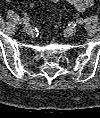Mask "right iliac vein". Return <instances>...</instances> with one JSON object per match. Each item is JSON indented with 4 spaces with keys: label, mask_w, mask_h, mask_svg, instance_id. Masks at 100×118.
<instances>
[{
    "label": "right iliac vein",
    "mask_w": 100,
    "mask_h": 118,
    "mask_svg": "<svg viewBox=\"0 0 100 118\" xmlns=\"http://www.w3.org/2000/svg\"><path fill=\"white\" fill-rule=\"evenodd\" d=\"M32 27L31 26H27V27H25V31H26V33L27 34H30L31 32H32Z\"/></svg>",
    "instance_id": "right-iliac-vein-1"
}]
</instances>
